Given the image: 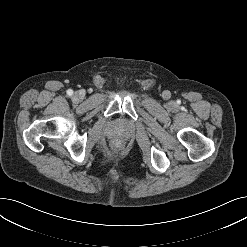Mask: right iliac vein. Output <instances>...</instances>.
Here are the masks:
<instances>
[{
  "mask_svg": "<svg viewBox=\"0 0 247 247\" xmlns=\"http://www.w3.org/2000/svg\"><path fill=\"white\" fill-rule=\"evenodd\" d=\"M82 99H83V94H82L81 92H75V93L73 94V100H74V101L79 102V101H81Z\"/></svg>",
  "mask_w": 247,
  "mask_h": 247,
  "instance_id": "right-iliac-vein-1",
  "label": "right iliac vein"
}]
</instances>
